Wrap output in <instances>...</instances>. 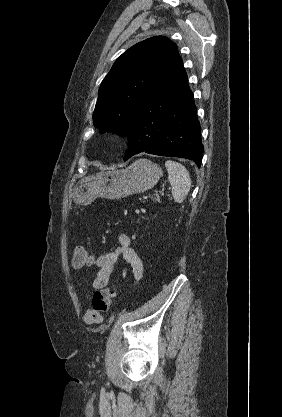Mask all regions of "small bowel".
Instances as JSON below:
<instances>
[{
    "instance_id": "c3829d8e",
    "label": "small bowel",
    "mask_w": 282,
    "mask_h": 417,
    "mask_svg": "<svg viewBox=\"0 0 282 417\" xmlns=\"http://www.w3.org/2000/svg\"><path fill=\"white\" fill-rule=\"evenodd\" d=\"M117 240L118 244L113 250L98 256L92 261L93 266L97 269V273L92 281V286L95 290H101L107 286L109 278L120 258H123L131 266L133 283L135 285L139 284L143 278V262L135 250L131 248L129 236L124 232H120L117 235ZM83 319L86 324L95 325L102 322L103 316L93 309H88Z\"/></svg>"
}]
</instances>
